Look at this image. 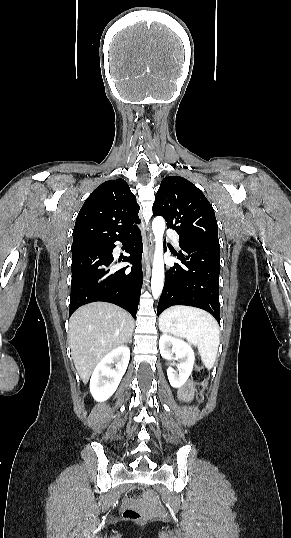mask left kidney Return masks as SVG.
I'll return each mask as SVG.
<instances>
[{
	"label": "left kidney",
	"instance_id": "5707ae66",
	"mask_svg": "<svg viewBox=\"0 0 291 538\" xmlns=\"http://www.w3.org/2000/svg\"><path fill=\"white\" fill-rule=\"evenodd\" d=\"M159 349L163 358L174 360L172 354L175 353L176 359H179L178 371L173 369L172 366L175 363L172 362L167 368V376L172 387H182L191 375L195 361V354L190 344L170 335L162 334L159 339Z\"/></svg>",
	"mask_w": 291,
	"mask_h": 538
}]
</instances>
